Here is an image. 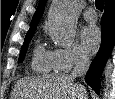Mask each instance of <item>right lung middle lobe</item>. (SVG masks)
<instances>
[{
  "instance_id": "dd1d6c3e",
  "label": "right lung middle lobe",
  "mask_w": 115,
  "mask_h": 99,
  "mask_svg": "<svg viewBox=\"0 0 115 99\" xmlns=\"http://www.w3.org/2000/svg\"><path fill=\"white\" fill-rule=\"evenodd\" d=\"M32 36H33V33L26 35L25 40H24V44L21 47L18 63L23 62V58H24V55H25L26 50H27V45H28L29 41L31 40Z\"/></svg>"
}]
</instances>
